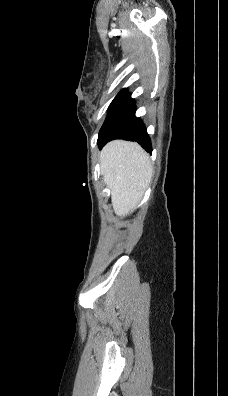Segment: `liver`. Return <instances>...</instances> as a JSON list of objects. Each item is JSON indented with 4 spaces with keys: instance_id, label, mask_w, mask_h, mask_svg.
<instances>
[{
    "instance_id": "obj_1",
    "label": "liver",
    "mask_w": 228,
    "mask_h": 396,
    "mask_svg": "<svg viewBox=\"0 0 228 396\" xmlns=\"http://www.w3.org/2000/svg\"><path fill=\"white\" fill-rule=\"evenodd\" d=\"M101 173L111 190L115 214L123 217L140 202L150 184L153 168L149 155L135 142L114 140L100 154Z\"/></svg>"
}]
</instances>
